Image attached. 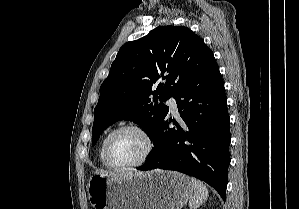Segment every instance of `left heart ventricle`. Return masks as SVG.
Returning <instances> with one entry per match:
<instances>
[{
	"mask_svg": "<svg viewBox=\"0 0 299 209\" xmlns=\"http://www.w3.org/2000/svg\"><path fill=\"white\" fill-rule=\"evenodd\" d=\"M145 141L134 131L118 134L111 145L110 159L115 165H127L137 161L145 150Z\"/></svg>",
	"mask_w": 299,
	"mask_h": 209,
	"instance_id": "b2bd125f",
	"label": "left heart ventricle"
}]
</instances>
